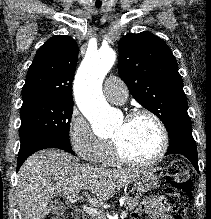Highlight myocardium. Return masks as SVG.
<instances>
[{
	"label": "myocardium",
	"mask_w": 211,
	"mask_h": 219,
	"mask_svg": "<svg viewBox=\"0 0 211 219\" xmlns=\"http://www.w3.org/2000/svg\"><path fill=\"white\" fill-rule=\"evenodd\" d=\"M140 116L149 117L157 125L159 132H160V136H161L160 147H159L158 152L152 158L147 159V160H135V159H132L126 156L122 152L118 143L112 139L111 144H112V150H113L115 159L119 163L126 165V166H132V167L152 166L158 163L160 160H162V158L165 156L168 150V147H169V134H168L166 125L164 124L162 119L153 111L148 110V109H143V108L135 109L131 111L129 114H127L125 120L132 121Z\"/></svg>",
	"instance_id": "1"
}]
</instances>
